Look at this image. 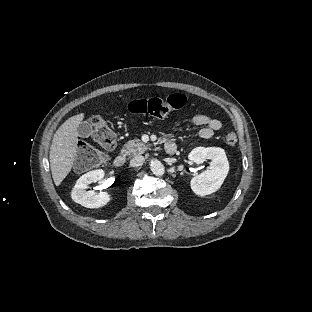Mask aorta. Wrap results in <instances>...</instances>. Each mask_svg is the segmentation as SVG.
<instances>
[{
	"instance_id": "1",
	"label": "aorta",
	"mask_w": 312,
	"mask_h": 312,
	"mask_svg": "<svg viewBox=\"0 0 312 312\" xmlns=\"http://www.w3.org/2000/svg\"><path fill=\"white\" fill-rule=\"evenodd\" d=\"M150 168L156 176H162L165 172L164 165L157 159L150 162Z\"/></svg>"
}]
</instances>
